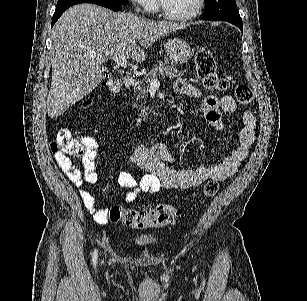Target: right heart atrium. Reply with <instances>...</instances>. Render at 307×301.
<instances>
[{"label": "right heart atrium", "instance_id": "right-heart-atrium-1", "mask_svg": "<svg viewBox=\"0 0 307 301\" xmlns=\"http://www.w3.org/2000/svg\"><path fill=\"white\" fill-rule=\"evenodd\" d=\"M135 5L139 11H153L154 9L153 0H135Z\"/></svg>", "mask_w": 307, "mask_h": 301}]
</instances>
